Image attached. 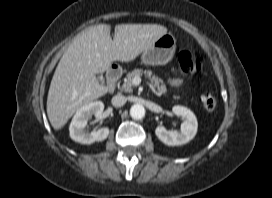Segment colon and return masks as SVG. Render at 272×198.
Segmentation results:
<instances>
[{
    "label": "colon",
    "instance_id": "5ec220e1",
    "mask_svg": "<svg viewBox=\"0 0 272 198\" xmlns=\"http://www.w3.org/2000/svg\"><path fill=\"white\" fill-rule=\"evenodd\" d=\"M178 63L181 70L188 75H195L201 70L199 59L187 50L179 53ZM201 102L205 109L213 110L217 105L216 93L213 90L204 91L201 95Z\"/></svg>",
    "mask_w": 272,
    "mask_h": 198
}]
</instances>
